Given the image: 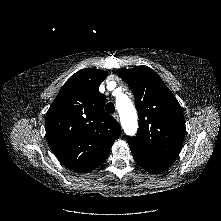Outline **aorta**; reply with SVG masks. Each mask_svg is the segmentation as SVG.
I'll return each mask as SVG.
<instances>
[{
  "mask_svg": "<svg viewBox=\"0 0 221 221\" xmlns=\"http://www.w3.org/2000/svg\"><path fill=\"white\" fill-rule=\"evenodd\" d=\"M116 107L125 133L129 136L135 135L138 128L137 112L131 100L121 95L116 100Z\"/></svg>",
  "mask_w": 221,
  "mask_h": 221,
  "instance_id": "obj_1",
  "label": "aorta"
}]
</instances>
